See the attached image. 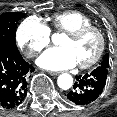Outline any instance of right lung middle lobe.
I'll use <instances>...</instances> for the list:
<instances>
[{
	"label": "right lung middle lobe",
	"instance_id": "right-lung-middle-lobe-1",
	"mask_svg": "<svg viewBox=\"0 0 117 117\" xmlns=\"http://www.w3.org/2000/svg\"><path fill=\"white\" fill-rule=\"evenodd\" d=\"M24 15V13L20 12H7L0 15V46L10 45L16 47V25Z\"/></svg>",
	"mask_w": 117,
	"mask_h": 117
}]
</instances>
